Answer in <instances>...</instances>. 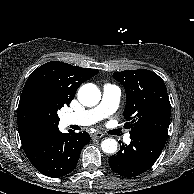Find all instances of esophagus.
I'll use <instances>...</instances> for the list:
<instances>
[{
	"instance_id": "obj_1",
	"label": "esophagus",
	"mask_w": 194,
	"mask_h": 194,
	"mask_svg": "<svg viewBox=\"0 0 194 194\" xmlns=\"http://www.w3.org/2000/svg\"><path fill=\"white\" fill-rule=\"evenodd\" d=\"M103 136H104V134L102 132H96V133L92 134V138H95V139L102 138Z\"/></svg>"
}]
</instances>
